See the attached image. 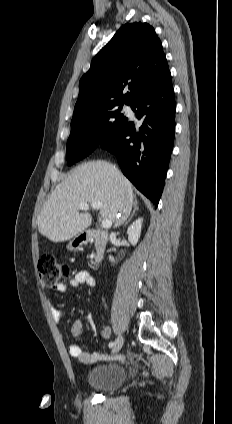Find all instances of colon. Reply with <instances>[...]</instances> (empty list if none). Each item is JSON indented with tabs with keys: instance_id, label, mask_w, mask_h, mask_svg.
I'll return each instance as SVG.
<instances>
[{
	"instance_id": "colon-1",
	"label": "colon",
	"mask_w": 232,
	"mask_h": 424,
	"mask_svg": "<svg viewBox=\"0 0 232 424\" xmlns=\"http://www.w3.org/2000/svg\"><path fill=\"white\" fill-rule=\"evenodd\" d=\"M38 271L42 286L55 288L70 275L69 266L52 254H43L39 258Z\"/></svg>"
}]
</instances>
